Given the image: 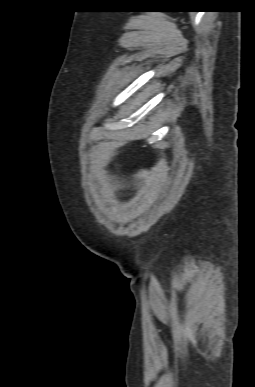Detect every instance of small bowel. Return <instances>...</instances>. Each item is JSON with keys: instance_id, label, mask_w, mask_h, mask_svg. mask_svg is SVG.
I'll list each match as a JSON object with an SVG mask.
<instances>
[{"instance_id": "small-bowel-1", "label": "small bowel", "mask_w": 255, "mask_h": 387, "mask_svg": "<svg viewBox=\"0 0 255 387\" xmlns=\"http://www.w3.org/2000/svg\"><path fill=\"white\" fill-rule=\"evenodd\" d=\"M99 163H100L102 166H101V167H98V168L96 169V174H97L98 176H102V175L106 172V169H105L104 167H106V168L109 167V161H108V159H107L106 157H101V158L99 159Z\"/></svg>"}]
</instances>
